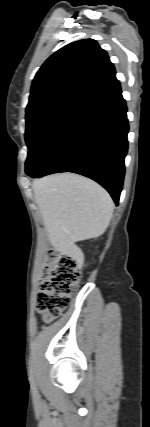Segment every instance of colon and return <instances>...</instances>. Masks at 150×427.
I'll return each mask as SVG.
<instances>
[{"instance_id": "obj_1", "label": "colon", "mask_w": 150, "mask_h": 427, "mask_svg": "<svg viewBox=\"0 0 150 427\" xmlns=\"http://www.w3.org/2000/svg\"><path fill=\"white\" fill-rule=\"evenodd\" d=\"M80 280L81 269L73 256L62 253L49 255L36 303L46 322H52L68 307Z\"/></svg>"}]
</instances>
